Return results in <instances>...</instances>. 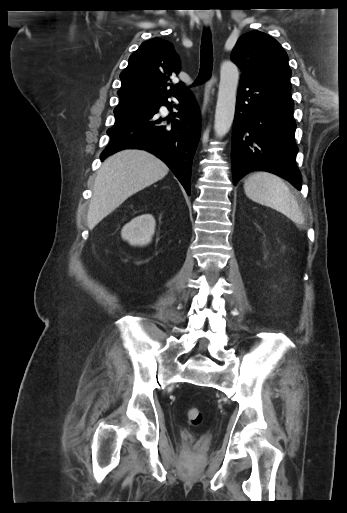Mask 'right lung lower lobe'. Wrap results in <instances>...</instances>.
<instances>
[{
    "mask_svg": "<svg viewBox=\"0 0 347 513\" xmlns=\"http://www.w3.org/2000/svg\"><path fill=\"white\" fill-rule=\"evenodd\" d=\"M180 104L173 118L158 116L161 105L172 108L162 100L141 109L115 114V124L107 133L111 140L100 155L103 161L122 149L146 150L164 161L190 194L192 161L200 138V112L189 91L175 96ZM172 122L169 125V122ZM168 122V123H166Z\"/></svg>",
    "mask_w": 347,
    "mask_h": 513,
    "instance_id": "right-lung-lower-lobe-1",
    "label": "right lung lower lobe"
}]
</instances>
